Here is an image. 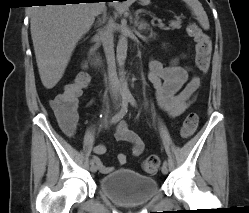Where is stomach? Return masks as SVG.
<instances>
[{
	"label": "stomach",
	"mask_w": 249,
	"mask_h": 213,
	"mask_svg": "<svg viewBox=\"0 0 249 213\" xmlns=\"http://www.w3.org/2000/svg\"><path fill=\"white\" fill-rule=\"evenodd\" d=\"M143 4H147L148 0H141Z\"/></svg>",
	"instance_id": "obj_1"
}]
</instances>
